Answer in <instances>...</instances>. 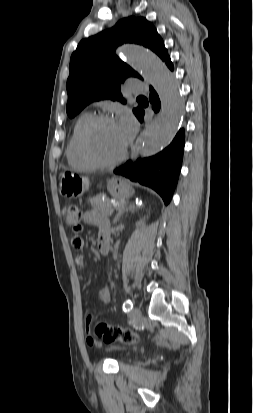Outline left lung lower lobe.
Segmentation results:
<instances>
[{"label": "left lung lower lobe", "instance_id": "left-lung-lower-lobe-1", "mask_svg": "<svg viewBox=\"0 0 253 413\" xmlns=\"http://www.w3.org/2000/svg\"><path fill=\"white\" fill-rule=\"evenodd\" d=\"M166 65L173 71L174 67L168 57ZM149 100L155 112L160 109V100L157 93L150 87ZM140 122L143 121L144 110L136 116ZM184 130L181 129L171 144L155 156L138 159L135 163L128 161L125 165L114 170L115 174L123 175L132 181L149 186L157 191L168 204L172 198L177 184L184 150Z\"/></svg>", "mask_w": 253, "mask_h": 413}]
</instances>
